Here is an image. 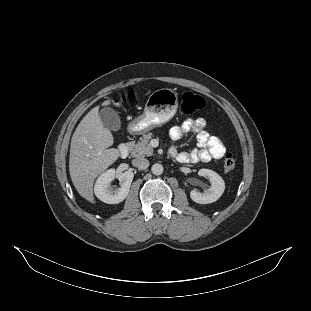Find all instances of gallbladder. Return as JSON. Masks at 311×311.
Listing matches in <instances>:
<instances>
[{"label": "gallbladder", "instance_id": "obj_1", "mask_svg": "<svg viewBox=\"0 0 311 311\" xmlns=\"http://www.w3.org/2000/svg\"><path fill=\"white\" fill-rule=\"evenodd\" d=\"M99 117L105 128L118 131L121 128V120L118 113L112 108H103L99 112Z\"/></svg>", "mask_w": 311, "mask_h": 311}]
</instances>
